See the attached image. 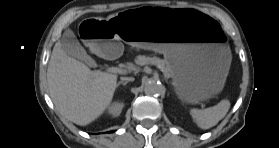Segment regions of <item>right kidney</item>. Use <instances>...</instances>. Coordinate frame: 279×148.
<instances>
[{
    "instance_id": "ca27d5eb",
    "label": "right kidney",
    "mask_w": 279,
    "mask_h": 148,
    "mask_svg": "<svg viewBox=\"0 0 279 148\" xmlns=\"http://www.w3.org/2000/svg\"><path fill=\"white\" fill-rule=\"evenodd\" d=\"M124 104L122 102H114L108 109V113L113 117H117L122 112Z\"/></svg>"
}]
</instances>
